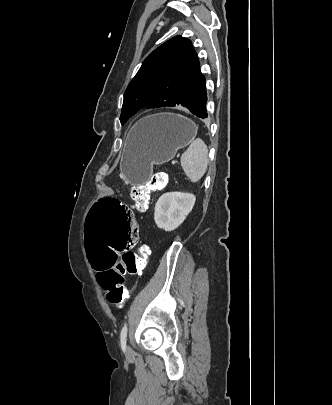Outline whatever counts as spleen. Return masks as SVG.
<instances>
[{
  "instance_id": "spleen-1",
  "label": "spleen",
  "mask_w": 332,
  "mask_h": 405,
  "mask_svg": "<svg viewBox=\"0 0 332 405\" xmlns=\"http://www.w3.org/2000/svg\"><path fill=\"white\" fill-rule=\"evenodd\" d=\"M208 162V148L200 138H196L181 156V166L194 183L204 176Z\"/></svg>"
}]
</instances>
